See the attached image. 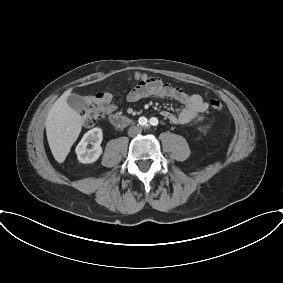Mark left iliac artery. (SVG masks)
Here are the masks:
<instances>
[{
    "label": "left iliac artery",
    "instance_id": "44dca946",
    "mask_svg": "<svg viewBox=\"0 0 283 283\" xmlns=\"http://www.w3.org/2000/svg\"><path fill=\"white\" fill-rule=\"evenodd\" d=\"M150 124L153 125V126L157 125V124H158V119H157V118H154V117L151 118V119H150Z\"/></svg>",
    "mask_w": 283,
    "mask_h": 283
}]
</instances>
